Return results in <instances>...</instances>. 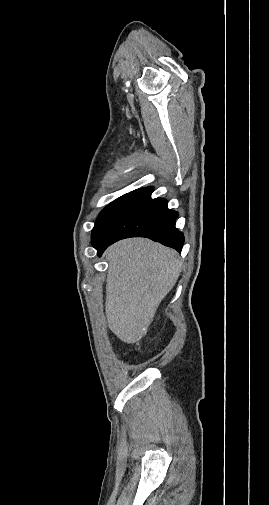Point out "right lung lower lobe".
<instances>
[{
    "mask_svg": "<svg viewBox=\"0 0 269 505\" xmlns=\"http://www.w3.org/2000/svg\"><path fill=\"white\" fill-rule=\"evenodd\" d=\"M152 187L138 191L93 245L98 256L112 243L128 237H147L181 252L184 235L175 227L176 211L163 198H151Z\"/></svg>",
    "mask_w": 269,
    "mask_h": 505,
    "instance_id": "98d812e1",
    "label": "right lung lower lobe"
}]
</instances>
